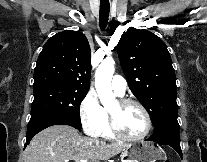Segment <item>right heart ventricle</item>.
<instances>
[{
  "label": "right heart ventricle",
  "mask_w": 207,
  "mask_h": 162,
  "mask_svg": "<svg viewBox=\"0 0 207 162\" xmlns=\"http://www.w3.org/2000/svg\"><path fill=\"white\" fill-rule=\"evenodd\" d=\"M105 114H106V112H105ZM100 136L103 137V138H106V139H111V138L114 137V135H113V133L110 129V126H109V121H108V118H107V114H106V123L104 125V128H103Z\"/></svg>",
  "instance_id": "right-heart-ventricle-1"
}]
</instances>
